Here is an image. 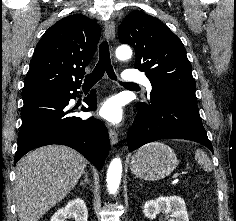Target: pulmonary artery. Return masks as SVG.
<instances>
[{
  "mask_svg": "<svg viewBox=\"0 0 236 221\" xmlns=\"http://www.w3.org/2000/svg\"><path fill=\"white\" fill-rule=\"evenodd\" d=\"M123 79L129 82H136L142 84L148 91L152 90L151 82L142 74H134L130 70L123 72Z\"/></svg>",
  "mask_w": 236,
  "mask_h": 221,
  "instance_id": "obj_1",
  "label": "pulmonary artery"
}]
</instances>
